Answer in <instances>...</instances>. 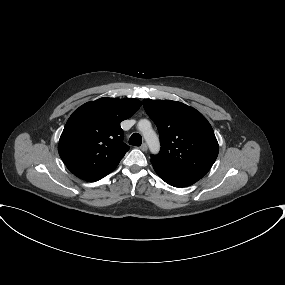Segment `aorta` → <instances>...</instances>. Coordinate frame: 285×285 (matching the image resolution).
I'll return each mask as SVG.
<instances>
[{
    "mask_svg": "<svg viewBox=\"0 0 285 285\" xmlns=\"http://www.w3.org/2000/svg\"><path fill=\"white\" fill-rule=\"evenodd\" d=\"M138 129L142 132L145 141L147 142L150 151L157 154L160 149L159 138L155 131L152 129L151 123L147 119H141L138 122Z\"/></svg>",
    "mask_w": 285,
    "mask_h": 285,
    "instance_id": "1",
    "label": "aorta"
}]
</instances>
